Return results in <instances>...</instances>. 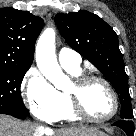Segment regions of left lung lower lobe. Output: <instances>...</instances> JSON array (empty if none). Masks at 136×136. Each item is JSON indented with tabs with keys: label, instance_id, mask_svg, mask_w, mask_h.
<instances>
[{
	"label": "left lung lower lobe",
	"instance_id": "0a47b994",
	"mask_svg": "<svg viewBox=\"0 0 136 136\" xmlns=\"http://www.w3.org/2000/svg\"><path fill=\"white\" fill-rule=\"evenodd\" d=\"M113 126H117L121 128L122 130L125 131V133L128 136H133L134 135V124L133 121L130 120H119L113 124Z\"/></svg>",
	"mask_w": 136,
	"mask_h": 136
}]
</instances>
